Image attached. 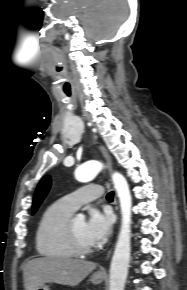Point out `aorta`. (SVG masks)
Segmentation results:
<instances>
[{
  "label": "aorta",
  "instance_id": "obj_1",
  "mask_svg": "<svg viewBox=\"0 0 187 290\" xmlns=\"http://www.w3.org/2000/svg\"><path fill=\"white\" fill-rule=\"evenodd\" d=\"M101 169L102 164L100 162L89 161L77 168L75 177L79 182L86 183L92 181L100 173ZM112 179L120 202L122 220L110 265L109 290H124L131 251L132 198L127 181L121 174L114 173ZM84 218L83 215H78V219L83 220Z\"/></svg>",
  "mask_w": 187,
  "mask_h": 290
}]
</instances>
